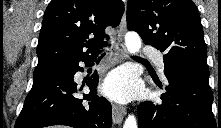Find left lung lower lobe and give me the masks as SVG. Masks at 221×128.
I'll return each mask as SVG.
<instances>
[{
	"mask_svg": "<svg viewBox=\"0 0 221 128\" xmlns=\"http://www.w3.org/2000/svg\"><path fill=\"white\" fill-rule=\"evenodd\" d=\"M168 79L161 102L138 106L139 128H216L209 72L164 60ZM161 87V85H159Z\"/></svg>",
	"mask_w": 221,
	"mask_h": 128,
	"instance_id": "0a47b994",
	"label": "left lung lower lobe"
}]
</instances>
